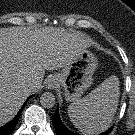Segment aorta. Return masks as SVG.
<instances>
[{
  "label": "aorta",
  "mask_w": 135,
  "mask_h": 135,
  "mask_svg": "<svg viewBox=\"0 0 135 135\" xmlns=\"http://www.w3.org/2000/svg\"><path fill=\"white\" fill-rule=\"evenodd\" d=\"M40 103L44 108H52L56 103L54 94L50 92L43 93L40 97Z\"/></svg>",
  "instance_id": "762f6f07"
}]
</instances>
